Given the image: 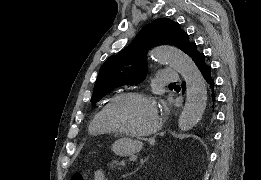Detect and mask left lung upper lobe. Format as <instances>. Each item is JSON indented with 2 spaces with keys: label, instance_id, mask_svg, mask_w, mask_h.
Listing matches in <instances>:
<instances>
[{
  "label": "left lung upper lobe",
  "instance_id": "left-lung-upper-lobe-1",
  "mask_svg": "<svg viewBox=\"0 0 261 180\" xmlns=\"http://www.w3.org/2000/svg\"><path fill=\"white\" fill-rule=\"evenodd\" d=\"M164 44L174 45L188 54L195 43H190L187 33L168 18L157 19L144 26L129 46L104 62L96 79L91 102L96 103L116 87L142 82L148 71L147 51Z\"/></svg>",
  "mask_w": 261,
  "mask_h": 180
}]
</instances>
